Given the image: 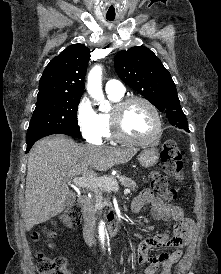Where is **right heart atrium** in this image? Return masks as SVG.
<instances>
[{
    "mask_svg": "<svg viewBox=\"0 0 221 274\" xmlns=\"http://www.w3.org/2000/svg\"><path fill=\"white\" fill-rule=\"evenodd\" d=\"M76 117L82 136L90 143H99L103 138L102 122L86 96L82 97L78 103Z\"/></svg>",
    "mask_w": 221,
    "mask_h": 274,
    "instance_id": "obj_1",
    "label": "right heart atrium"
}]
</instances>
